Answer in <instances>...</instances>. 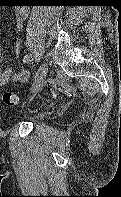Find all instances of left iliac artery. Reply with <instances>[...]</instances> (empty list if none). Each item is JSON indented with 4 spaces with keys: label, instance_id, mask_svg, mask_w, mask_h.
Segmentation results:
<instances>
[{
    "label": "left iliac artery",
    "instance_id": "obj_1",
    "mask_svg": "<svg viewBox=\"0 0 121 197\" xmlns=\"http://www.w3.org/2000/svg\"><path fill=\"white\" fill-rule=\"evenodd\" d=\"M33 54L32 53H28V54H26L25 55V57H24V59H23V62L24 63H29L30 61H32L33 60Z\"/></svg>",
    "mask_w": 121,
    "mask_h": 197
}]
</instances>
